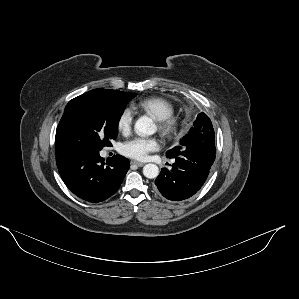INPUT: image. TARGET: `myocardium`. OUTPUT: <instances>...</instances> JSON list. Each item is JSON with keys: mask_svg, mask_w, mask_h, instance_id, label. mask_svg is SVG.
<instances>
[{"mask_svg": "<svg viewBox=\"0 0 299 299\" xmlns=\"http://www.w3.org/2000/svg\"><path fill=\"white\" fill-rule=\"evenodd\" d=\"M160 132L167 138L173 137L178 130V123L173 117L158 120Z\"/></svg>", "mask_w": 299, "mask_h": 299, "instance_id": "obj_1", "label": "myocardium"}]
</instances>
